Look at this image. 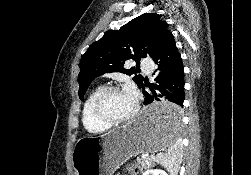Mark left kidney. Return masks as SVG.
Listing matches in <instances>:
<instances>
[{"mask_svg": "<svg viewBox=\"0 0 251 175\" xmlns=\"http://www.w3.org/2000/svg\"><path fill=\"white\" fill-rule=\"evenodd\" d=\"M143 175H168V173L164 169H146Z\"/></svg>", "mask_w": 251, "mask_h": 175, "instance_id": "left-kidney-1", "label": "left kidney"}]
</instances>
